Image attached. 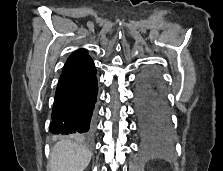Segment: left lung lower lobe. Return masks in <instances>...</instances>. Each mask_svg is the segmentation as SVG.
Instances as JSON below:
<instances>
[{
	"mask_svg": "<svg viewBox=\"0 0 223 171\" xmlns=\"http://www.w3.org/2000/svg\"><path fill=\"white\" fill-rule=\"evenodd\" d=\"M135 113L138 132L144 143H162L171 138L172 128L164 92L154 71L146 70L137 79Z\"/></svg>",
	"mask_w": 223,
	"mask_h": 171,
	"instance_id": "0a47b994",
	"label": "left lung lower lobe"
}]
</instances>
